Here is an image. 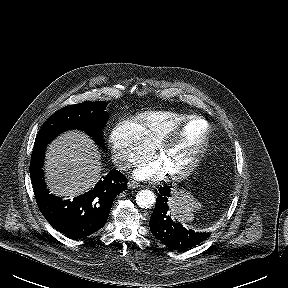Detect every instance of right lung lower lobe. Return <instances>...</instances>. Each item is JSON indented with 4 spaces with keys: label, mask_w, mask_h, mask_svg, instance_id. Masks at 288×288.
Masks as SVG:
<instances>
[{
    "label": "right lung lower lobe",
    "mask_w": 288,
    "mask_h": 288,
    "mask_svg": "<svg viewBox=\"0 0 288 288\" xmlns=\"http://www.w3.org/2000/svg\"><path fill=\"white\" fill-rule=\"evenodd\" d=\"M46 145L34 147L30 176L37 205L45 219L71 238H83L99 230L107 221L115 197L127 189L126 177L113 169L89 192L62 200L46 189L43 160Z\"/></svg>",
    "instance_id": "98d812e1"
}]
</instances>
